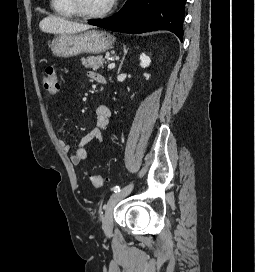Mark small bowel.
Here are the masks:
<instances>
[{
    "mask_svg": "<svg viewBox=\"0 0 255 272\" xmlns=\"http://www.w3.org/2000/svg\"><path fill=\"white\" fill-rule=\"evenodd\" d=\"M88 77L96 83L105 82L104 76L96 71H90ZM111 118L112 110L109 106L99 105L96 108V126L79 140L75 152L70 155L72 164L78 165L87 159V146H96L104 141V134L110 125ZM59 144L64 152H69L70 145L65 140L61 139Z\"/></svg>",
    "mask_w": 255,
    "mask_h": 272,
    "instance_id": "obj_1",
    "label": "small bowel"
}]
</instances>
